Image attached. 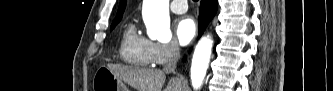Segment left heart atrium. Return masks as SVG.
<instances>
[{
  "label": "left heart atrium",
  "mask_w": 333,
  "mask_h": 91,
  "mask_svg": "<svg viewBox=\"0 0 333 91\" xmlns=\"http://www.w3.org/2000/svg\"><path fill=\"white\" fill-rule=\"evenodd\" d=\"M196 35L195 21L190 17L178 20L176 24V37L181 45L189 44Z\"/></svg>",
  "instance_id": "1"
}]
</instances>
